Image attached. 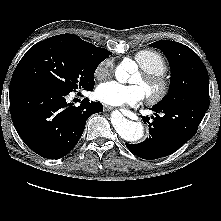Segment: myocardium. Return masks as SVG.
Masks as SVG:
<instances>
[{"label":"myocardium","instance_id":"1","mask_svg":"<svg viewBox=\"0 0 221 221\" xmlns=\"http://www.w3.org/2000/svg\"><path fill=\"white\" fill-rule=\"evenodd\" d=\"M147 87L146 98L151 104L161 102L169 93L170 83L168 79L159 73H151L142 70L140 73Z\"/></svg>","mask_w":221,"mask_h":221}]
</instances>
